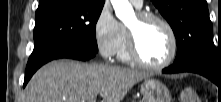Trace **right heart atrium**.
Segmentation results:
<instances>
[{
	"mask_svg": "<svg viewBox=\"0 0 221 102\" xmlns=\"http://www.w3.org/2000/svg\"><path fill=\"white\" fill-rule=\"evenodd\" d=\"M93 31L97 49L103 57L111 58L118 53L124 39V30L108 7L100 10Z\"/></svg>",
	"mask_w": 221,
	"mask_h": 102,
	"instance_id": "d8ad5b80",
	"label": "right heart atrium"
}]
</instances>
